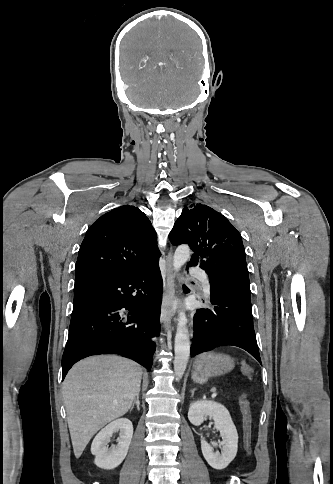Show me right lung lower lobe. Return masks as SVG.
<instances>
[{"label": "right lung lower lobe", "mask_w": 333, "mask_h": 484, "mask_svg": "<svg viewBox=\"0 0 333 484\" xmlns=\"http://www.w3.org/2000/svg\"><path fill=\"white\" fill-rule=\"evenodd\" d=\"M162 278L158 262L130 275H92L75 280L73 312L62 357L71 366L98 354H120L148 370L159 335Z\"/></svg>", "instance_id": "right-lung-lower-lobe-1"}]
</instances>
